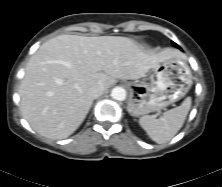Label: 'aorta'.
I'll return each mask as SVG.
<instances>
[{
  "mask_svg": "<svg viewBox=\"0 0 222 187\" xmlns=\"http://www.w3.org/2000/svg\"><path fill=\"white\" fill-rule=\"evenodd\" d=\"M111 96L115 100L123 101L126 98V90L122 87H115L111 91Z\"/></svg>",
  "mask_w": 222,
  "mask_h": 187,
  "instance_id": "1",
  "label": "aorta"
}]
</instances>
